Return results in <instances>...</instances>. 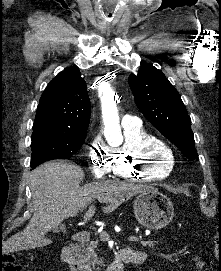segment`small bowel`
<instances>
[{"label": "small bowel", "mask_w": 221, "mask_h": 271, "mask_svg": "<svg viewBox=\"0 0 221 271\" xmlns=\"http://www.w3.org/2000/svg\"><path fill=\"white\" fill-rule=\"evenodd\" d=\"M129 250L131 251V253H132V255H133L134 257L140 256V255H142V256L145 255V253L142 252V251H133V250H131V249H129ZM191 263H192L197 269H199V268H201V267L203 266V261H202L198 256H194V257L191 259Z\"/></svg>", "instance_id": "small-bowel-1"}]
</instances>
